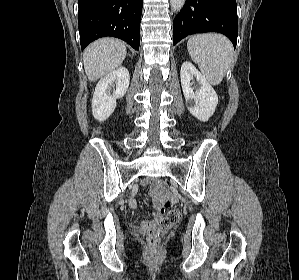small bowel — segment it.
<instances>
[{
    "mask_svg": "<svg viewBox=\"0 0 299 280\" xmlns=\"http://www.w3.org/2000/svg\"><path fill=\"white\" fill-rule=\"evenodd\" d=\"M161 180L159 179H155L152 183L151 189H150V196L154 202V205L157 209L161 208L162 205V189L160 188V184H161ZM132 207H135L136 204L134 201L130 202ZM149 223L148 222H144V226H147Z\"/></svg>",
    "mask_w": 299,
    "mask_h": 280,
    "instance_id": "small-bowel-1",
    "label": "small bowel"
}]
</instances>
